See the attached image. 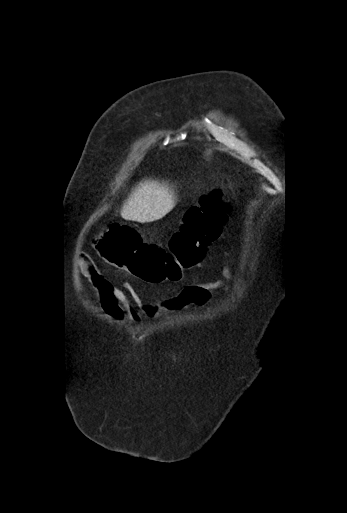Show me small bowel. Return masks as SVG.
Here are the masks:
<instances>
[{
	"label": "small bowel",
	"instance_id": "obj_1",
	"mask_svg": "<svg viewBox=\"0 0 347 513\" xmlns=\"http://www.w3.org/2000/svg\"><path fill=\"white\" fill-rule=\"evenodd\" d=\"M78 267L97 293L103 312L111 319L122 320L126 316L132 322L156 318L163 312L186 306L204 307L210 304L214 290L228 289L226 280L231 277L230 269L225 268L221 271L222 279L189 283L168 301L146 304L132 284L124 283L123 289L113 286L88 256L79 258Z\"/></svg>",
	"mask_w": 347,
	"mask_h": 513
}]
</instances>
